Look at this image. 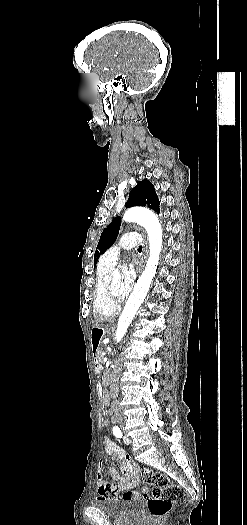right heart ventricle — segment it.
I'll use <instances>...</instances> for the list:
<instances>
[{
	"label": "right heart ventricle",
	"mask_w": 247,
	"mask_h": 525,
	"mask_svg": "<svg viewBox=\"0 0 247 525\" xmlns=\"http://www.w3.org/2000/svg\"><path fill=\"white\" fill-rule=\"evenodd\" d=\"M113 271L114 270L112 265L105 264V255L103 254L98 263L96 285L93 296L94 317H115L117 314V305H107L106 292L104 288L105 280H109V276Z\"/></svg>",
	"instance_id": "right-heart-ventricle-1"
}]
</instances>
